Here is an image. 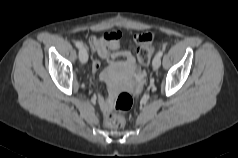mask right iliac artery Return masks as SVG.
I'll list each match as a JSON object with an SVG mask.
<instances>
[{
	"label": "right iliac artery",
	"mask_w": 238,
	"mask_h": 158,
	"mask_svg": "<svg viewBox=\"0 0 238 158\" xmlns=\"http://www.w3.org/2000/svg\"><path fill=\"white\" fill-rule=\"evenodd\" d=\"M75 45L79 49L83 48V44L81 42H79V41L75 42Z\"/></svg>",
	"instance_id": "right-iliac-artery-1"
}]
</instances>
